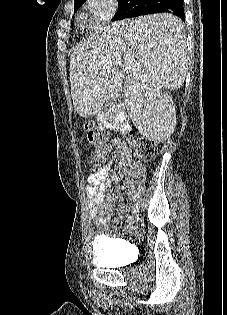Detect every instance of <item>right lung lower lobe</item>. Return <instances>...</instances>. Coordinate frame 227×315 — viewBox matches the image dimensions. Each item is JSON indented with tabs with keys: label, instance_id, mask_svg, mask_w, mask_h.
<instances>
[{
	"label": "right lung lower lobe",
	"instance_id": "1",
	"mask_svg": "<svg viewBox=\"0 0 227 315\" xmlns=\"http://www.w3.org/2000/svg\"><path fill=\"white\" fill-rule=\"evenodd\" d=\"M117 13L116 20L147 14L171 13L185 21L183 0H142L135 5L123 6Z\"/></svg>",
	"mask_w": 227,
	"mask_h": 315
}]
</instances>
